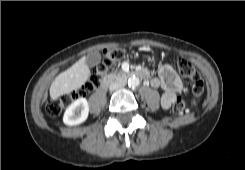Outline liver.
I'll list each match as a JSON object with an SVG mask.
<instances>
[{
  "instance_id": "6515ba94",
  "label": "liver",
  "mask_w": 245,
  "mask_h": 170,
  "mask_svg": "<svg viewBox=\"0 0 245 170\" xmlns=\"http://www.w3.org/2000/svg\"><path fill=\"white\" fill-rule=\"evenodd\" d=\"M89 76L90 69L86 65V57H82L55 78L50 87V97L57 99L61 95L79 89L86 83Z\"/></svg>"
}]
</instances>
